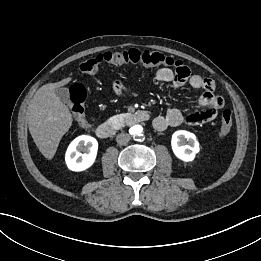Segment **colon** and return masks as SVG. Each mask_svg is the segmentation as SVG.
Segmentation results:
<instances>
[{"mask_svg":"<svg viewBox=\"0 0 261 261\" xmlns=\"http://www.w3.org/2000/svg\"><path fill=\"white\" fill-rule=\"evenodd\" d=\"M103 63L112 65L136 64L141 66L168 65L181 66L180 61H176L169 56H165L157 51H140L129 49L124 51H108L99 53L96 56L84 60L79 64L78 71L82 75H91L98 71ZM86 89L82 84L76 83L69 88V106L77 123L81 126L87 125L85 114ZM233 125V115L229 109L222 113L219 138L228 135Z\"/></svg>","mask_w":261,"mask_h":261,"instance_id":"5ec220e1","label":"colon"}]
</instances>
